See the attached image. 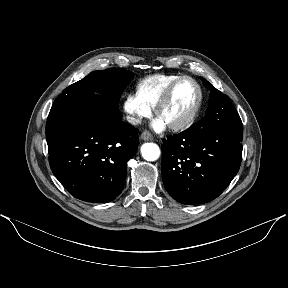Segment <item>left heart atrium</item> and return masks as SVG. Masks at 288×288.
<instances>
[{
    "mask_svg": "<svg viewBox=\"0 0 288 288\" xmlns=\"http://www.w3.org/2000/svg\"><path fill=\"white\" fill-rule=\"evenodd\" d=\"M153 125H154V128L158 131H162L166 127V123L162 121L161 119H157Z\"/></svg>",
    "mask_w": 288,
    "mask_h": 288,
    "instance_id": "left-heart-atrium-1",
    "label": "left heart atrium"
}]
</instances>
